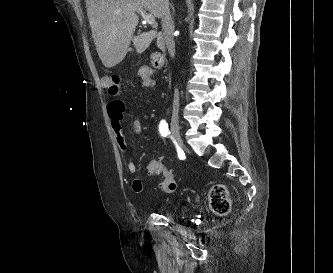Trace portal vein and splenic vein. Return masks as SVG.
I'll list each match as a JSON object with an SVG mask.
<instances>
[{"instance_id": "portal-vein-and-splenic-vein-1", "label": "portal vein and splenic vein", "mask_w": 333, "mask_h": 273, "mask_svg": "<svg viewBox=\"0 0 333 273\" xmlns=\"http://www.w3.org/2000/svg\"><path fill=\"white\" fill-rule=\"evenodd\" d=\"M138 11L142 15L143 19L145 20L146 23L150 25L155 24V17L152 14L146 13V11L142 7H138Z\"/></svg>"}]
</instances>
